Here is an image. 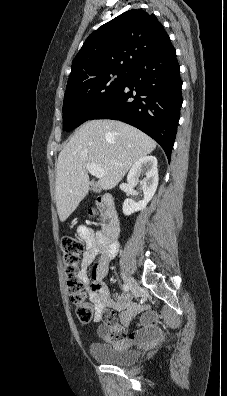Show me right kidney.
Returning <instances> with one entry per match:
<instances>
[{"label":"right kidney","mask_w":227,"mask_h":396,"mask_svg":"<svg viewBox=\"0 0 227 396\" xmlns=\"http://www.w3.org/2000/svg\"><path fill=\"white\" fill-rule=\"evenodd\" d=\"M145 175V178L140 181L138 176ZM128 185L133 187L140 183L144 194L143 200L135 202L127 198L123 203V213L126 216L134 212L144 210L148 202L153 198L158 186V169L157 159L155 156H144L137 160L131 167L127 175Z\"/></svg>","instance_id":"right-kidney-1"}]
</instances>
